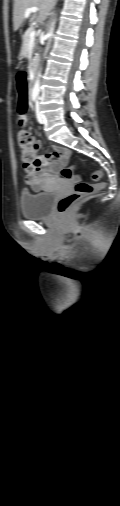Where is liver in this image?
I'll return each mask as SVG.
<instances>
[{
	"label": "liver",
	"instance_id": "1",
	"mask_svg": "<svg viewBox=\"0 0 120 506\" xmlns=\"http://www.w3.org/2000/svg\"><path fill=\"white\" fill-rule=\"evenodd\" d=\"M54 5V0H14L13 22L14 29L18 30L25 19L30 17L25 16V12L30 7H37L38 13H33L31 19H37L42 22L48 16L50 10Z\"/></svg>",
	"mask_w": 120,
	"mask_h": 506
}]
</instances>
